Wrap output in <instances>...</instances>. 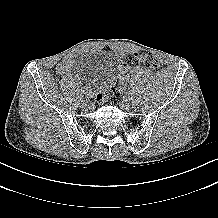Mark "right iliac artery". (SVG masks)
Listing matches in <instances>:
<instances>
[{"label":"right iliac artery","instance_id":"right-iliac-artery-1","mask_svg":"<svg viewBox=\"0 0 218 218\" xmlns=\"http://www.w3.org/2000/svg\"><path fill=\"white\" fill-rule=\"evenodd\" d=\"M85 95H89L91 92L86 88L85 90H83Z\"/></svg>","mask_w":218,"mask_h":218}]
</instances>
